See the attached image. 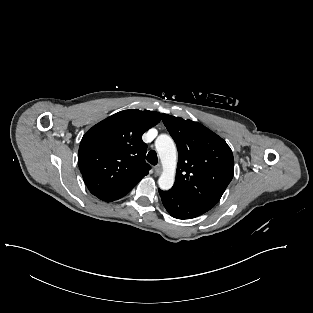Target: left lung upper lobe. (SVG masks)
Wrapping results in <instances>:
<instances>
[{"mask_svg":"<svg viewBox=\"0 0 313 313\" xmlns=\"http://www.w3.org/2000/svg\"><path fill=\"white\" fill-rule=\"evenodd\" d=\"M162 120L178 149L176 179L170 191L213 207L234 172L230 147L198 122L162 114Z\"/></svg>","mask_w":313,"mask_h":313,"instance_id":"1","label":"left lung upper lobe"}]
</instances>
